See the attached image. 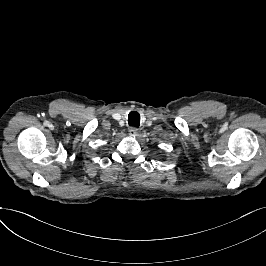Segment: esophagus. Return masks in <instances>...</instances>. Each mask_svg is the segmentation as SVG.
Listing matches in <instances>:
<instances>
[{
    "label": "esophagus",
    "mask_w": 266,
    "mask_h": 266,
    "mask_svg": "<svg viewBox=\"0 0 266 266\" xmlns=\"http://www.w3.org/2000/svg\"><path fill=\"white\" fill-rule=\"evenodd\" d=\"M138 133V129L137 128H130L129 129V135L130 136H136Z\"/></svg>",
    "instance_id": "esophagus-1"
}]
</instances>
